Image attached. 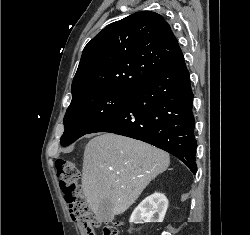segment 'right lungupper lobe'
Returning a JSON list of instances; mask_svg holds the SVG:
<instances>
[{
    "label": "right lung upper lobe",
    "instance_id": "obj_1",
    "mask_svg": "<svg viewBox=\"0 0 250 235\" xmlns=\"http://www.w3.org/2000/svg\"><path fill=\"white\" fill-rule=\"evenodd\" d=\"M178 41L158 13L141 11L114 22L84 48L72 100L92 91H134L170 63Z\"/></svg>",
    "mask_w": 250,
    "mask_h": 235
}]
</instances>
